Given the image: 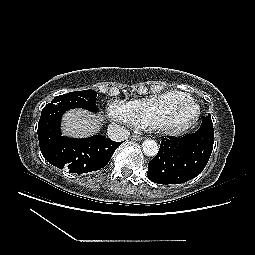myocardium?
Masks as SVG:
<instances>
[{
  "mask_svg": "<svg viewBox=\"0 0 255 255\" xmlns=\"http://www.w3.org/2000/svg\"><path fill=\"white\" fill-rule=\"evenodd\" d=\"M185 106L191 110L187 120L179 123L168 120V115L175 106ZM200 116L199 104L190 96L187 99L173 100L161 109L150 121L148 127L150 130L164 135H178L192 127Z\"/></svg>",
  "mask_w": 255,
  "mask_h": 255,
  "instance_id": "obj_1",
  "label": "myocardium"
}]
</instances>
